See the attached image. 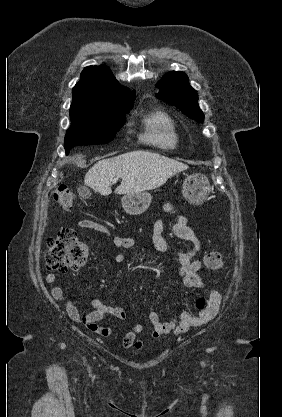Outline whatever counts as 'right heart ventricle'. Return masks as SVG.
<instances>
[{
	"instance_id": "obj_1",
	"label": "right heart ventricle",
	"mask_w": 282,
	"mask_h": 417,
	"mask_svg": "<svg viewBox=\"0 0 282 417\" xmlns=\"http://www.w3.org/2000/svg\"><path fill=\"white\" fill-rule=\"evenodd\" d=\"M144 132L142 138L149 144L160 147H172L176 134L169 116L162 110H154L143 118Z\"/></svg>"
}]
</instances>
